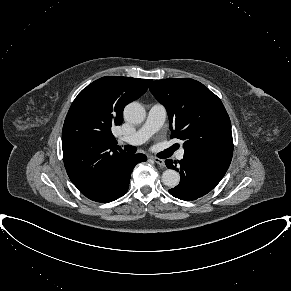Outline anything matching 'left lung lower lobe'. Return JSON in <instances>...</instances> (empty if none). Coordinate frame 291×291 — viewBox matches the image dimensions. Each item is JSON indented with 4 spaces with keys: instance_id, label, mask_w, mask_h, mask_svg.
<instances>
[{
    "instance_id": "1",
    "label": "left lung lower lobe",
    "mask_w": 291,
    "mask_h": 291,
    "mask_svg": "<svg viewBox=\"0 0 291 291\" xmlns=\"http://www.w3.org/2000/svg\"><path fill=\"white\" fill-rule=\"evenodd\" d=\"M232 159V153L185 152L184 158L173 164L166 160L168 168L180 172V183L169 193L182 200H196L209 193L223 178Z\"/></svg>"
}]
</instances>
